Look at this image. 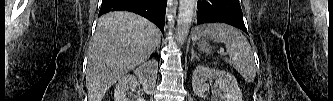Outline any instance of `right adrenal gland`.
Here are the masks:
<instances>
[{
	"label": "right adrenal gland",
	"mask_w": 333,
	"mask_h": 101,
	"mask_svg": "<svg viewBox=\"0 0 333 101\" xmlns=\"http://www.w3.org/2000/svg\"><path fill=\"white\" fill-rule=\"evenodd\" d=\"M157 52H159V46L157 47Z\"/></svg>",
	"instance_id": "obj_1"
}]
</instances>
